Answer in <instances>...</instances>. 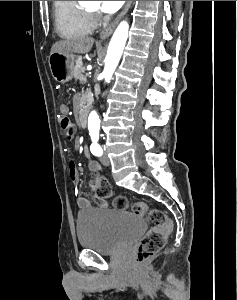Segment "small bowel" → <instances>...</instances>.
Instances as JSON below:
<instances>
[{"instance_id":"small-bowel-1","label":"small bowel","mask_w":237,"mask_h":300,"mask_svg":"<svg viewBox=\"0 0 237 300\" xmlns=\"http://www.w3.org/2000/svg\"><path fill=\"white\" fill-rule=\"evenodd\" d=\"M61 112L68 113V107L66 105H62ZM88 169L91 173H97L101 170V167L98 163L91 161L88 165ZM69 175L74 184V190H75V194L78 197L79 205L82 208L91 207L92 202L90 200L86 199L85 197L81 196V194H80L79 187H78V177H79L78 170H77V166L73 160H71L70 164H69ZM95 202H96L97 206H99V207H106V203L104 201L96 200Z\"/></svg>"}]
</instances>
